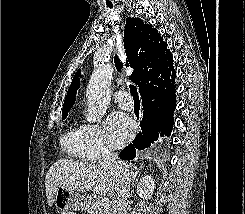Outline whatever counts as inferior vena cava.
Segmentation results:
<instances>
[{"label":"inferior vena cava","mask_w":245,"mask_h":214,"mask_svg":"<svg viewBox=\"0 0 245 214\" xmlns=\"http://www.w3.org/2000/svg\"><path fill=\"white\" fill-rule=\"evenodd\" d=\"M101 155L102 159L99 165L109 169L116 175L112 196V214H126L131 182L129 166L123 161H120L117 153L111 152L108 147L103 146L101 148Z\"/></svg>","instance_id":"602c4592"}]
</instances>
